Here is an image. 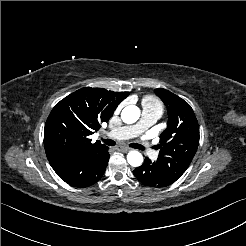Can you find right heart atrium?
<instances>
[{"label":"right heart atrium","mask_w":246,"mask_h":246,"mask_svg":"<svg viewBox=\"0 0 246 246\" xmlns=\"http://www.w3.org/2000/svg\"><path fill=\"white\" fill-rule=\"evenodd\" d=\"M123 106H124L123 103L119 104V105L117 106L116 110H117V111L121 110V109L123 108Z\"/></svg>","instance_id":"d8ad5b80"}]
</instances>
